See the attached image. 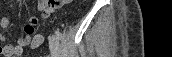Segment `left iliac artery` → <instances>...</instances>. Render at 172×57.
Returning a JSON list of instances; mask_svg holds the SVG:
<instances>
[{"label":"left iliac artery","instance_id":"44dca946","mask_svg":"<svg viewBox=\"0 0 172 57\" xmlns=\"http://www.w3.org/2000/svg\"><path fill=\"white\" fill-rule=\"evenodd\" d=\"M55 34L57 35V37H58L59 39L62 38V33H61L58 29L55 31Z\"/></svg>","mask_w":172,"mask_h":57}]
</instances>
